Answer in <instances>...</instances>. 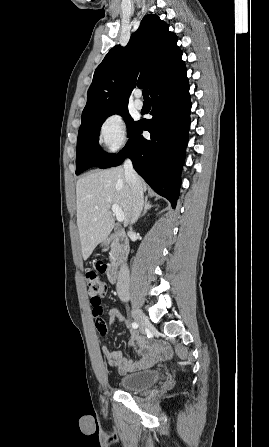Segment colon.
Listing matches in <instances>:
<instances>
[{"mask_svg": "<svg viewBox=\"0 0 269 447\" xmlns=\"http://www.w3.org/2000/svg\"><path fill=\"white\" fill-rule=\"evenodd\" d=\"M100 267H107L105 262H95L93 266H86L84 269L85 272V284L87 288V293L90 297V302L92 306V310L95 313H92V318H97V313L101 312V305L99 298L107 294V284L104 280H102L98 276V269ZM95 330L101 331L99 336L104 338L106 333V323L105 322H96Z\"/></svg>", "mask_w": 269, "mask_h": 447, "instance_id": "obj_1", "label": "colon"}]
</instances>
